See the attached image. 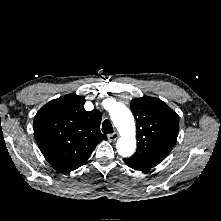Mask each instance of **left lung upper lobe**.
I'll return each mask as SVG.
<instances>
[{
    "label": "left lung upper lobe",
    "instance_id": "left-lung-upper-lobe-1",
    "mask_svg": "<svg viewBox=\"0 0 221 221\" xmlns=\"http://www.w3.org/2000/svg\"><path fill=\"white\" fill-rule=\"evenodd\" d=\"M131 110L136 119L137 150L125 160L144 167L162 162L176 143L179 117L163 101L154 97L135 98Z\"/></svg>",
    "mask_w": 221,
    "mask_h": 221
}]
</instances>
